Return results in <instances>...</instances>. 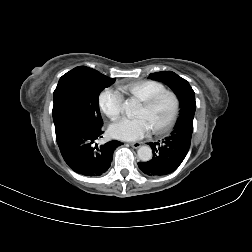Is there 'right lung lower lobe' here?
<instances>
[{
	"label": "right lung lower lobe",
	"instance_id": "obj_1",
	"mask_svg": "<svg viewBox=\"0 0 252 252\" xmlns=\"http://www.w3.org/2000/svg\"><path fill=\"white\" fill-rule=\"evenodd\" d=\"M60 152L69 167L78 174L97 177L110 167L114 150L123 143L112 140L98 145L102 129L68 121L55 126Z\"/></svg>",
	"mask_w": 252,
	"mask_h": 252
}]
</instances>
